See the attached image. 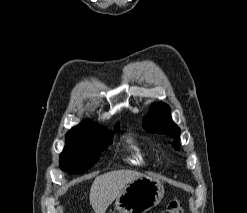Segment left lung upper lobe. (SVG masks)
Here are the masks:
<instances>
[{
  "instance_id": "left-lung-upper-lobe-1",
  "label": "left lung upper lobe",
  "mask_w": 247,
  "mask_h": 213,
  "mask_svg": "<svg viewBox=\"0 0 247 213\" xmlns=\"http://www.w3.org/2000/svg\"><path fill=\"white\" fill-rule=\"evenodd\" d=\"M143 127L152 133L170 135L179 139L180 129L172 121L169 106L164 103L151 105L150 114L145 117ZM174 147L177 149L179 143L174 142Z\"/></svg>"
}]
</instances>
